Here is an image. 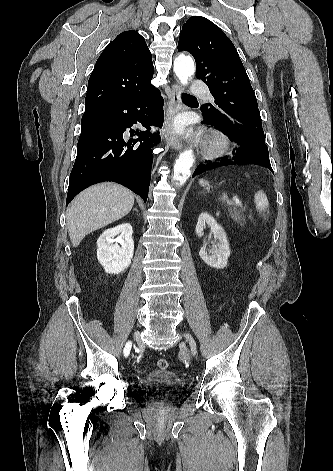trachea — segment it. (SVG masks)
<instances>
[{
	"label": "trachea",
	"instance_id": "trachea-1",
	"mask_svg": "<svg viewBox=\"0 0 333 471\" xmlns=\"http://www.w3.org/2000/svg\"><path fill=\"white\" fill-rule=\"evenodd\" d=\"M189 99H196L194 96L192 95H189V94H186V93H182V100L185 101V100H189Z\"/></svg>",
	"mask_w": 333,
	"mask_h": 471
}]
</instances>
